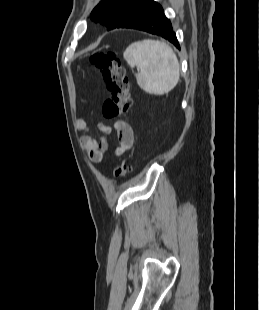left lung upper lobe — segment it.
I'll return each instance as SVG.
<instances>
[{
	"label": "left lung upper lobe",
	"mask_w": 259,
	"mask_h": 310,
	"mask_svg": "<svg viewBox=\"0 0 259 310\" xmlns=\"http://www.w3.org/2000/svg\"><path fill=\"white\" fill-rule=\"evenodd\" d=\"M150 0H101L93 9L90 18L100 22L107 30L114 29L120 20L131 10Z\"/></svg>",
	"instance_id": "5c2ea615"
}]
</instances>
